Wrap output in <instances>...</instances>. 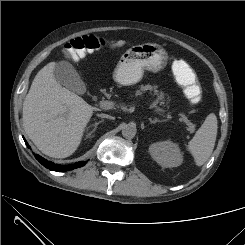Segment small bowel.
<instances>
[{"label":"small bowel","mask_w":245,"mask_h":245,"mask_svg":"<svg viewBox=\"0 0 245 245\" xmlns=\"http://www.w3.org/2000/svg\"><path fill=\"white\" fill-rule=\"evenodd\" d=\"M172 68L177 79L192 80L195 78L193 70L181 59L175 60Z\"/></svg>","instance_id":"small-bowel-1"}]
</instances>
